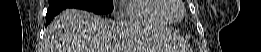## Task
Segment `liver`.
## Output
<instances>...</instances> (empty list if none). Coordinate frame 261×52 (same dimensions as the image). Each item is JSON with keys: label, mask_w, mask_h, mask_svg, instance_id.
<instances>
[{"label": "liver", "mask_w": 261, "mask_h": 52, "mask_svg": "<svg viewBox=\"0 0 261 52\" xmlns=\"http://www.w3.org/2000/svg\"><path fill=\"white\" fill-rule=\"evenodd\" d=\"M136 33L138 26L134 23L66 9L45 30L43 52H132Z\"/></svg>", "instance_id": "liver-1"}]
</instances>
